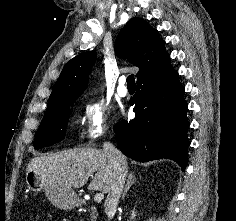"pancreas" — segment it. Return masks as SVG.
Returning <instances> with one entry per match:
<instances>
[{"instance_id": "cf45deb5", "label": "pancreas", "mask_w": 236, "mask_h": 221, "mask_svg": "<svg viewBox=\"0 0 236 221\" xmlns=\"http://www.w3.org/2000/svg\"><path fill=\"white\" fill-rule=\"evenodd\" d=\"M90 221H96V214L94 208L91 209Z\"/></svg>"}]
</instances>
